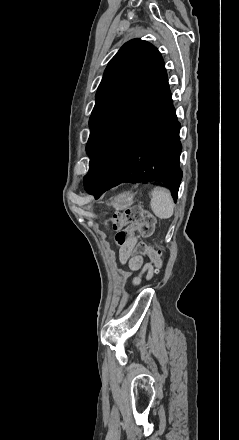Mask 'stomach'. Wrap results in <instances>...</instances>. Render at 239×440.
Segmentation results:
<instances>
[{"label":"stomach","mask_w":239,"mask_h":440,"mask_svg":"<svg viewBox=\"0 0 239 440\" xmlns=\"http://www.w3.org/2000/svg\"><path fill=\"white\" fill-rule=\"evenodd\" d=\"M134 196L135 194H131V192H122V194H118V196L112 198L110 206H113L116 212L126 210V208H130V206L134 204Z\"/></svg>","instance_id":"stomach-1"}]
</instances>
